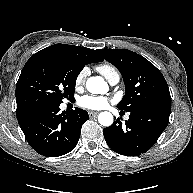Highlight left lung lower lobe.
<instances>
[{
	"label": "left lung lower lobe",
	"instance_id": "left-lung-lower-lobe-1",
	"mask_svg": "<svg viewBox=\"0 0 193 193\" xmlns=\"http://www.w3.org/2000/svg\"><path fill=\"white\" fill-rule=\"evenodd\" d=\"M171 100H164L130 112L122 126L116 119L114 124L103 129L108 146L125 156H136L147 152L158 140L169 122Z\"/></svg>",
	"mask_w": 193,
	"mask_h": 193
}]
</instances>
